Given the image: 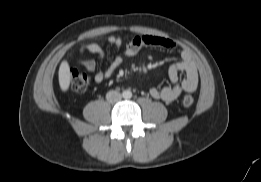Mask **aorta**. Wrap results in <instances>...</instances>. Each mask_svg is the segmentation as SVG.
Wrapping results in <instances>:
<instances>
[{"label":"aorta","mask_w":261,"mask_h":182,"mask_svg":"<svg viewBox=\"0 0 261 182\" xmlns=\"http://www.w3.org/2000/svg\"><path fill=\"white\" fill-rule=\"evenodd\" d=\"M122 95H123V98L130 99L132 97V92L129 91V90H126V91L123 92Z\"/></svg>","instance_id":"1"}]
</instances>
